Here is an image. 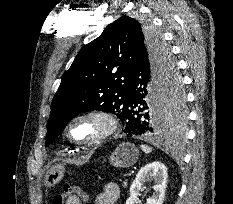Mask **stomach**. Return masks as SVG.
Wrapping results in <instances>:
<instances>
[{
  "label": "stomach",
  "mask_w": 233,
  "mask_h": 204,
  "mask_svg": "<svg viewBox=\"0 0 233 204\" xmlns=\"http://www.w3.org/2000/svg\"><path fill=\"white\" fill-rule=\"evenodd\" d=\"M139 157V150L131 143L120 144L110 155L109 162L116 168H127L134 165ZM65 168L62 164H54L44 174V185L51 187L61 181Z\"/></svg>",
  "instance_id": "stomach-1"
}]
</instances>
